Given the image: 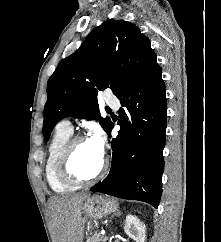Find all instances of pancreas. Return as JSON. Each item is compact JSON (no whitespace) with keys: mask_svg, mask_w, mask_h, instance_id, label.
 I'll return each mask as SVG.
<instances>
[{"mask_svg":"<svg viewBox=\"0 0 221 242\" xmlns=\"http://www.w3.org/2000/svg\"><path fill=\"white\" fill-rule=\"evenodd\" d=\"M105 238L100 237L99 233H94L91 237H88L86 242H105Z\"/></svg>","mask_w":221,"mask_h":242,"instance_id":"obj_1","label":"pancreas"}]
</instances>
